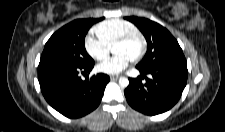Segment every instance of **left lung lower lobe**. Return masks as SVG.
Wrapping results in <instances>:
<instances>
[{
	"instance_id": "0a47b994",
	"label": "left lung lower lobe",
	"mask_w": 225,
	"mask_h": 132,
	"mask_svg": "<svg viewBox=\"0 0 225 132\" xmlns=\"http://www.w3.org/2000/svg\"><path fill=\"white\" fill-rule=\"evenodd\" d=\"M139 71L141 76L129 78V86L124 91L132 108L146 115H157L177 103L187 83V64L161 65ZM147 74L151 78L146 77Z\"/></svg>"
}]
</instances>
